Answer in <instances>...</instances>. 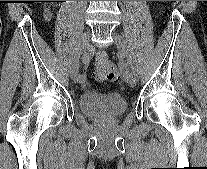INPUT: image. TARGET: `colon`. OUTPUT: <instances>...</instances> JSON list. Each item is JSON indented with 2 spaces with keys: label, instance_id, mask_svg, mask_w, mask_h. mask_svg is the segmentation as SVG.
Masks as SVG:
<instances>
[{
  "label": "colon",
  "instance_id": "colon-1",
  "mask_svg": "<svg viewBox=\"0 0 207 169\" xmlns=\"http://www.w3.org/2000/svg\"><path fill=\"white\" fill-rule=\"evenodd\" d=\"M94 77L98 81L116 83L120 74L115 64L105 54L100 53L94 62Z\"/></svg>",
  "mask_w": 207,
  "mask_h": 169
}]
</instances>
